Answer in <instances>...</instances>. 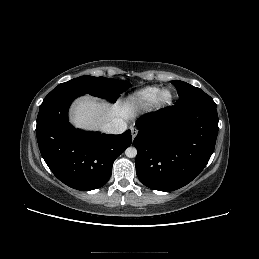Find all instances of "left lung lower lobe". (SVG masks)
Masks as SVG:
<instances>
[{
	"instance_id": "1",
	"label": "left lung lower lobe",
	"mask_w": 259,
	"mask_h": 259,
	"mask_svg": "<svg viewBox=\"0 0 259 259\" xmlns=\"http://www.w3.org/2000/svg\"><path fill=\"white\" fill-rule=\"evenodd\" d=\"M139 180L159 191L190 183L208 163L218 134L215 103H177L136 122Z\"/></svg>"
}]
</instances>
